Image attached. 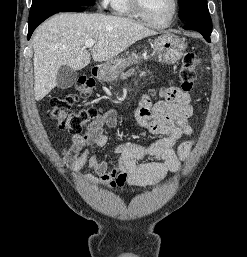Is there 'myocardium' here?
<instances>
[{
	"instance_id": "obj_1",
	"label": "myocardium",
	"mask_w": 247,
	"mask_h": 257,
	"mask_svg": "<svg viewBox=\"0 0 247 257\" xmlns=\"http://www.w3.org/2000/svg\"><path fill=\"white\" fill-rule=\"evenodd\" d=\"M132 9L134 12L137 14V16L148 26L157 28V29H162L170 26L174 19L176 18L178 8H179V2L178 0H173V12L169 18V20L166 23L163 24H158L153 21H151L147 15L144 12L143 5H142V0H129Z\"/></svg>"
}]
</instances>
